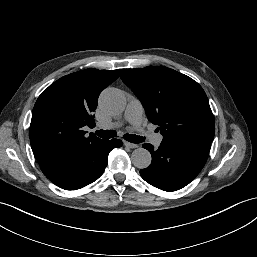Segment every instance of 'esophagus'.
<instances>
[{"instance_id":"obj_1","label":"esophagus","mask_w":257,"mask_h":257,"mask_svg":"<svg viewBox=\"0 0 257 257\" xmlns=\"http://www.w3.org/2000/svg\"><path fill=\"white\" fill-rule=\"evenodd\" d=\"M124 145L129 147V148H137L138 147V144L130 143V142H127V141H124Z\"/></svg>"}]
</instances>
